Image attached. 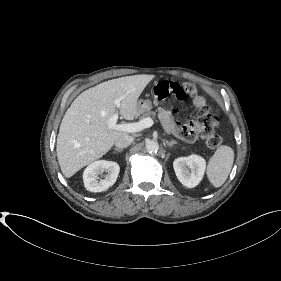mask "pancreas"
Here are the masks:
<instances>
[{"label":"pancreas","instance_id":"cf45deb5","mask_svg":"<svg viewBox=\"0 0 281 281\" xmlns=\"http://www.w3.org/2000/svg\"><path fill=\"white\" fill-rule=\"evenodd\" d=\"M147 117H155V112L153 111H148L146 113H143L141 116H140V120L144 119V118H147Z\"/></svg>","mask_w":281,"mask_h":281}]
</instances>
